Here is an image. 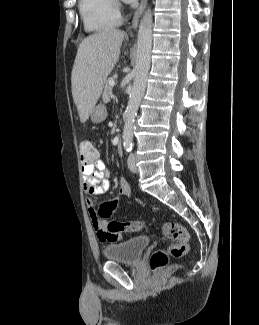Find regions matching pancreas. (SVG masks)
Masks as SVG:
<instances>
[{"mask_svg":"<svg viewBox=\"0 0 259 325\" xmlns=\"http://www.w3.org/2000/svg\"><path fill=\"white\" fill-rule=\"evenodd\" d=\"M110 81H112V79H108L105 83V87H104V91L102 94V99L104 103H108L110 101V97L112 95V86L110 85Z\"/></svg>","mask_w":259,"mask_h":325,"instance_id":"cf45deb5","label":"pancreas"}]
</instances>
